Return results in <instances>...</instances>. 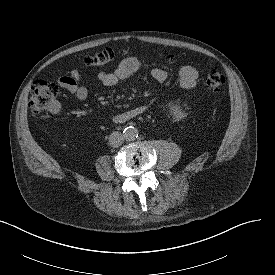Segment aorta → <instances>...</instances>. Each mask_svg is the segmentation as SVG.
Here are the masks:
<instances>
[{
	"label": "aorta",
	"mask_w": 275,
	"mask_h": 275,
	"mask_svg": "<svg viewBox=\"0 0 275 275\" xmlns=\"http://www.w3.org/2000/svg\"><path fill=\"white\" fill-rule=\"evenodd\" d=\"M123 137L127 141L135 140L138 137V130L133 126H129L124 129Z\"/></svg>",
	"instance_id": "762f6f07"
}]
</instances>
